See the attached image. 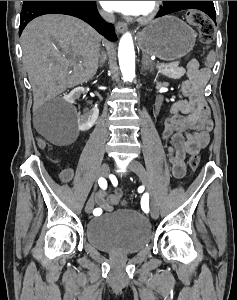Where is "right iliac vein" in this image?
<instances>
[{"instance_id":"obj_1","label":"right iliac vein","mask_w":237,"mask_h":300,"mask_svg":"<svg viewBox=\"0 0 237 300\" xmlns=\"http://www.w3.org/2000/svg\"><path fill=\"white\" fill-rule=\"evenodd\" d=\"M108 172H109V165L107 163H103L100 170H99V176L100 177H106L108 175ZM94 206H95V197L92 196L88 200V202L85 206V212L90 213L93 210Z\"/></svg>"}]
</instances>
